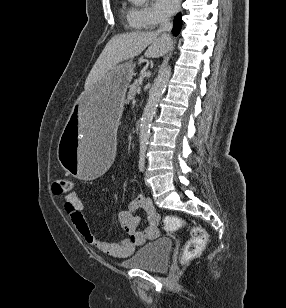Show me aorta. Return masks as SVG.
Listing matches in <instances>:
<instances>
[{"mask_svg":"<svg viewBox=\"0 0 286 308\" xmlns=\"http://www.w3.org/2000/svg\"><path fill=\"white\" fill-rule=\"evenodd\" d=\"M145 1L146 0H132V2L135 4H142ZM170 76L171 67L169 65L161 67L158 77L156 78L155 83L149 92V98L144 108L140 124L139 140L141 147H146L148 144L150 138L151 122Z\"/></svg>","mask_w":286,"mask_h":308,"instance_id":"obj_1","label":"aorta"}]
</instances>
